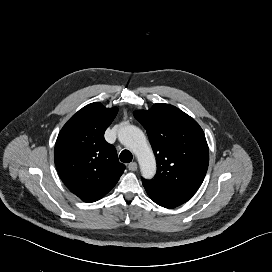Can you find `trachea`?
<instances>
[{
  "mask_svg": "<svg viewBox=\"0 0 272 272\" xmlns=\"http://www.w3.org/2000/svg\"><path fill=\"white\" fill-rule=\"evenodd\" d=\"M120 160L124 163H129L132 161V154L129 150H123L120 153Z\"/></svg>",
  "mask_w": 272,
  "mask_h": 272,
  "instance_id": "1",
  "label": "trachea"
}]
</instances>
